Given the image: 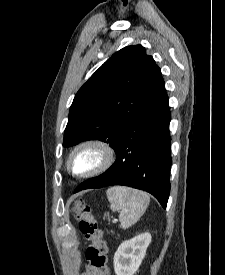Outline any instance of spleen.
<instances>
[{
    "label": "spleen",
    "mask_w": 225,
    "mask_h": 275,
    "mask_svg": "<svg viewBox=\"0 0 225 275\" xmlns=\"http://www.w3.org/2000/svg\"><path fill=\"white\" fill-rule=\"evenodd\" d=\"M107 199L112 211H119L120 228L133 226L145 213L150 198L140 190L125 186H114L107 190Z\"/></svg>",
    "instance_id": "1"
}]
</instances>
